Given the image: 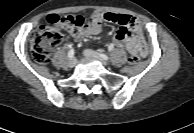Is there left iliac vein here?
Wrapping results in <instances>:
<instances>
[{"label":"left iliac vein","instance_id":"1","mask_svg":"<svg viewBox=\"0 0 194 133\" xmlns=\"http://www.w3.org/2000/svg\"><path fill=\"white\" fill-rule=\"evenodd\" d=\"M84 55L97 59L102 65L107 66V62L104 61L96 52L90 49L84 50Z\"/></svg>","mask_w":194,"mask_h":133}]
</instances>
